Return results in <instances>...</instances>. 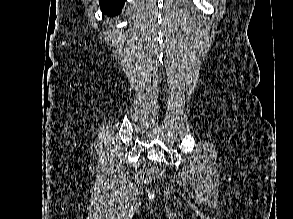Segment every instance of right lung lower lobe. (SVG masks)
<instances>
[{
	"label": "right lung lower lobe",
	"mask_w": 293,
	"mask_h": 219,
	"mask_svg": "<svg viewBox=\"0 0 293 219\" xmlns=\"http://www.w3.org/2000/svg\"><path fill=\"white\" fill-rule=\"evenodd\" d=\"M124 3L125 0H100V8L103 14L115 16L121 12Z\"/></svg>",
	"instance_id": "right-lung-lower-lobe-1"
}]
</instances>
